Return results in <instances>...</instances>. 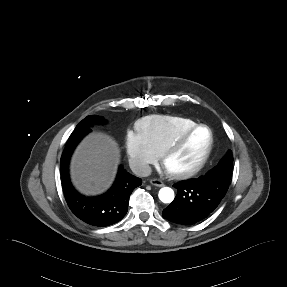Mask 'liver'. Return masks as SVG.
Wrapping results in <instances>:
<instances>
[{"mask_svg":"<svg viewBox=\"0 0 287 287\" xmlns=\"http://www.w3.org/2000/svg\"><path fill=\"white\" fill-rule=\"evenodd\" d=\"M119 161L116 141L104 133H92L73 154L70 167L73 184L86 195L102 193L112 184Z\"/></svg>","mask_w":287,"mask_h":287,"instance_id":"1","label":"liver"}]
</instances>
